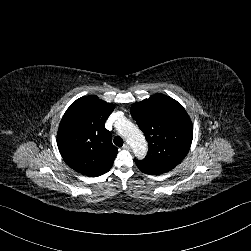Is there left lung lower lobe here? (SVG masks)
<instances>
[{
  "label": "left lung lower lobe",
  "instance_id": "0a47b994",
  "mask_svg": "<svg viewBox=\"0 0 251 251\" xmlns=\"http://www.w3.org/2000/svg\"><path fill=\"white\" fill-rule=\"evenodd\" d=\"M134 161L136 162V165L139 170L149 175H159L173 169L168 166L154 164L145 160L134 159Z\"/></svg>",
  "mask_w": 251,
  "mask_h": 251
}]
</instances>
